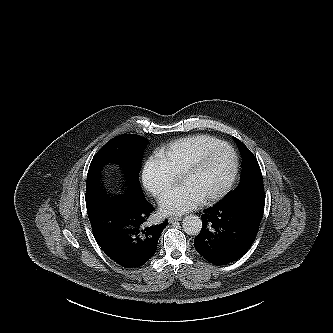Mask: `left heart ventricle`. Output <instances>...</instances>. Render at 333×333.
<instances>
[{
    "instance_id": "b2bd125f",
    "label": "left heart ventricle",
    "mask_w": 333,
    "mask_h": 333,
    "mask_svg": "<svg viewBox=\"0 0 333 333\" xmlns=\"http://www.w3.org/2000/svg\"><path fill=\"white\" fill-rule=\"evenodd\" d=\"M232 165V154L224 148L212 155L196 173L182 179L181 182L191 186L204 198L223 185Z\"/></svg>"
}]
</instances>
